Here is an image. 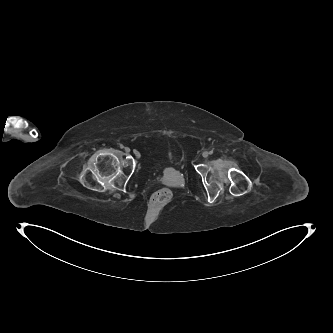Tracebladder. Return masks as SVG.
Masks as SVG:
<instances>
[{"instance_id": "1", "label": "bladder", "mask_w": 333, "mask_h": 333, "mask_svg": "<svg viewBox=\"0 0 333 333\" xmlns=\"http://www.w3.org/2000/svg\"><path fill=\"white\" fill-rule=\"evenodd\" d=\"M168 164L174 167H180L181 166V160L179 158H176L173 154L169 153L167 156Z\"/></svg>"}]
</instances>
